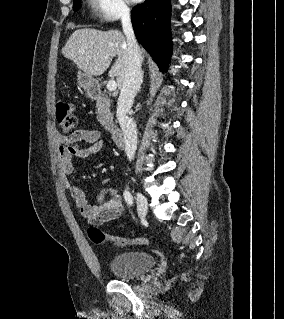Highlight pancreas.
Masks as SVG:
<instances>
[{"mask_svg":"<svg viewBox=\"0 0 284 319\" xmlns=\"http://www.w3.org/2000/svg\"><path fill=\"white\" fill-rule=\"evenodd\" d=\"M97 108V119L100 123H105L106 121L113 118L112 114L110 113V101L106 98L102 99L101 101H98L96 104Z\"/></svg>","mask_w":284,"mask_h":319,"instance_id":"pancreas-1","label":"pancreas"}]
</instances>
